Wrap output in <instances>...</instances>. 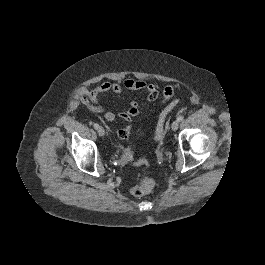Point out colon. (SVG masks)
<instances>
[{"label":"colon","instance_id":"1","mask_svg":"<svg viewBox=\"0 0 265 265\" xmlns=\"http://www.w3.org/2000/svg\"><path fill=\"white\" fill-rule=\"evenodd\" d=\"M173 89L170 86L165 87L164 91H163V96L164 99L166 101H169L172 96H173ZM179 103V100H173L171 101L164 109L163 111L160 113L157 124H156V129H155V136L154 139L156 141H159L162 139L163 135H164V127H165V121L167 119V116L169 115V113L173 110V108ZM130 133V129H128L127 127L121 129L118 131V136L121 139H125L128 137ZM137 164L140 166H144V167H148V161L146 159H140L137 161ZM155 180L154 178L150 177V176H145L143 177L140 182L135 185L134 187H132L131 189V193L134 196L137 197H141L144 196L148 193H150L153 188L155 187Z\"/></svg>","mask_w":265,"mask_h":265}]
</instances>
